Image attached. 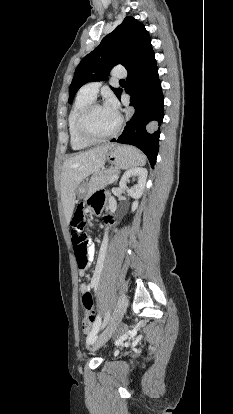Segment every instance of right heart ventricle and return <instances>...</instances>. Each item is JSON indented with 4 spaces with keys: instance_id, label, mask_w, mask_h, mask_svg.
Masks as SVG:
<instances>
[{
    "instance_id": "e07e8e85",
    "label": "right heart ventricle",
    "mask_w": 233,
    "mask_h": 414,
    "mask_svg": "<svg viewBox=\"0 0 233 414\" xmlns=\"http://www.w3.org/2000/svg\"><path fill=\"white\" fill-rule=\"evenodd\" d=\"M94 98L84 94L82 91L78 93L76 96L74 103L71 107V110L68 115V133H69V140L72 149L74 150H84L92 145L91 142H87L81 139L77 132H76V121L78 115L82 111V109L88 105L90 102L93 101Z\"/></svg>"
}]
</instances>
